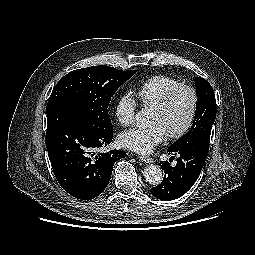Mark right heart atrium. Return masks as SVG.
Listing matches in <instances>:
<instances>
[{
  "instance_id": "d8ad5b80",
  "label": "right heart atrium",
  "mask_w": 255,
  "mask_h": 255,
  "mask_svg": "<svg viewBox=\"0 0 255 255\" xmlns=\"http://www.w3.org/2000/svg\"><path fill=\"white\" fill-rule=\"evenodd\" d=\"M136 110L135 99L129 93H123L115 103V118L120 125L128 126L134 121Z\"/></svg>"
}]
</instances>
